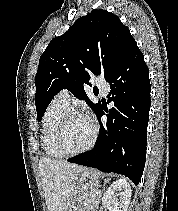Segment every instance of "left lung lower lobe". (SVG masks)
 <instances>
[{"mask_svg":"<svg viewBox=\"0 0 178 211\" xmlns=\"http://www.w3.org/2000/svg\"><path fill=\"white\" fill-rule=\"evenodd\" d=\"M111 84L108 103L96 115L101 124L97 145L91 151L68 159L69 162L123 174L136 185L146 160L147 125L150 110L148 67L137 45L106 79ZM106 113L107 123H101Z\"/></svg>","mask_w":178,"mask_h":211,"instance_id":"1","label":"left lung lower lobe"}]
</instances>
